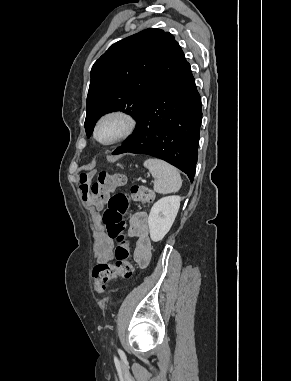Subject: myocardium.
I'll list each match as a JSON object with an SVG mask.
<instances>
[{
	"label": "myocardium",
	"mask_w": 291,
	"mask_h": 381,
	"mask_svg": "<svg viewBox=\"0 0 291 381\" xmlns=\"http://www.w3.org/2000/svg\"><path fill=\"white\" fill-rule=\"evenodd\" d=\"M109 118H119L124 122L125 126H124L123 131L118 136H116L114 139L107 141V142H103L99 139L98 131H99V127L102 124V122L105 121L106 119H109ZM136 126H137V120L132 113H130L126 110H122V109L111 110V111H108V112L102 114L97 119V121L94 125V130H93L94 139L100 145L112 146V145H115L117 143H120V142L128 139L133 134V132L135 131Z\"/></svg>",
	"instance_id": "myocardium-1"
}]
</instances>
